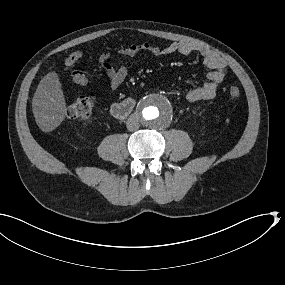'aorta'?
<instances>
[{"mask_svg":"<svg viewBox=\"0 0 285 285\" xmlns=\"http://www.w3.org/2000/svg\"><path fill=\"white\" fill-rule=\"evenodd\" d=\"M140 118L147 128L152 130H161L171 123L173 118V109L166 99L161 97H152L142 104L140 109Z\"/></svg>","mask_w":285,"mask_h":285,"instance_id":"aorta-1","label":"aorta"}]
</instances>
